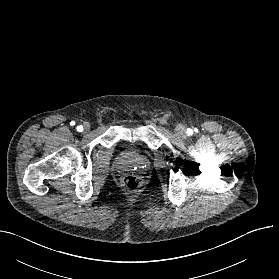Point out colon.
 I'll use <instances>...</instances> for the list:
<instances>
[{
	"instance_id": "obj_1",
	"label": "colon",
	"mask_w": 279,
	"mask_h": 279,
	"mask_svg": "<svg viewBox=\"0 0 279 279\" xmlns=\"http://www.w3.org/2000/svg\"><path fill=\"white\" fill-rule=\"evenodd\" d=\"M121 185L129 191H136L141 187L142 179L136 175H128L121 179Z\"/></svg>"
}]
</instances>
